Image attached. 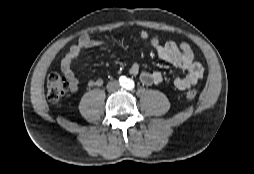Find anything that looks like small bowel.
Returning <instances> with one entry per match:
<instances>
[{
    "mask_svg": "<svg viewBox=\"0 0 254 174\" xmlns=\"http://www.w3.org/2000/svg\"><path fill=\"white\" fill-rule=\"evenodd\" d=\"M139 37L142 40L148 41L159 58L186 73L184 77L174 79L173 85L175 89H188L196 85L198 81L203 78L204 68L198 61H196L194 54L187 43L182 42L176 44L173 41H168L161 44L158 38L149 37V33L146 30H141L139 32ZM102 45H105V41L94 39L85 34L80 36L77 42L70 47L69 52L61 62V71L68 78L71 91H77L79 88V81L75 76L72 66L78 60L81 52L85 49ZM129 71L132 75H139L141 82L147 86L159 84L163 81V75L160 71L140 72V67L137 63H132ZM102 84V78H94L88 81L89 87H99Z\"/></svg>",
    "mask_w": 254,
    "mask_h": 174,
    "instance_id": "c3829d8e",
    "label": "small bowel"
}]
</instances>
